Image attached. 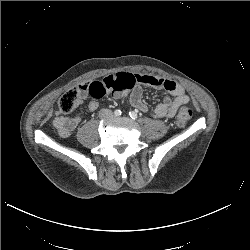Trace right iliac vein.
<instances>
[{
	"mask_svg": "<svg viewBox=\"0 0 250 250\" xmlns=\"http://www.w3.org/2000/svg\"><path fill=\"white\" fill-rule=\"evenodd\" d=\"M109 116H110V114H109L108 112H105V113L102 115L103 118H107V117H109Z\"/></svg>",
	"mask_w": 250,
	"mask_h": 250,
	"instance_id": "right-iliac-vein-1",
	"label": "right iliac vein"
}]
</instances>
